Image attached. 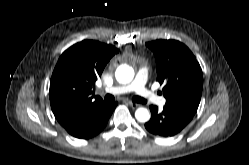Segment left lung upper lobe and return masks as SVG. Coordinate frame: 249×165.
<instances>
[{"label":"left lung upper lobe","mask_w":249,"mask_h":165,"mask_svg":"<svg viewBox=\"0 0 249 165\" xmlns=\"http://www.w3.org/2000/svg\"><path fill=\"white\" fill-rule=\"evenodd\" d=\"M156 59L157 80L164 84L166 106L195 115L202 94V70L192 52L176 40L146 43Z\"/></svg>","instance_id":"left-lung-upper-lobe-1"}]
</instances>
